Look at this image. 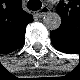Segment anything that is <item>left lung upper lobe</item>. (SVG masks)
I'll return each instance as SVG.
<instances>
[{
    "instance_id": "1",
    "label": "left lung upper lobe",
    "mask_w": 80,
    "mask_h": 80,
    "mask_svg": "<svg viewBox=\"0 0 80 80\" xmlns=\"http://www.w3.org/2000/svg\"><path fill=\"white\" fill-rule=\"evenodd\" d=\"M64 26H65V24H64ZM64 26H63V23H62L61 26L57 29V31H56L57 36L66 35V30H65L66 26L65 27Z\"/></svg>"
}]
</instances>
